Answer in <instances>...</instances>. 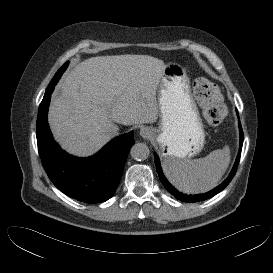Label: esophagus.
Masks as SVG:
<instances>
[{
    "instance_id": "esophagus-1",
    "label": "esophagus",
    "mask_w": 273,
    "mask_h": 273,
    "mask_svg": "<svg viewBox=\"0 0 273 273\" xmlns=\"http://www.w3.org/2000/svg\"><path fill=\"white\" fill-rule=\"evenodd\" d=\"M140 135L143 137V138H149L150 137V131L148 128H141L140 129Z\"/></svg>"
}]
</instances>
